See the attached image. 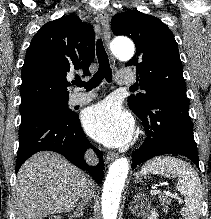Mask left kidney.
<instances>
[{
    "instance_id": "5707ae66",
    "label": "left kidney",
    "mask_w": 211,
    "mask_h": 219,
    "mask_svg": "<svg viewBox=\"0 0 211 219\" xmlns=\"http://www.w3.org/2000/svg\"><path fill=\"white\" fill-rule=\"evenodd\" d=\"M157 217H158V213L155 210H153L148 216V219H157Z\"/></svg>"
}]
</instances>
